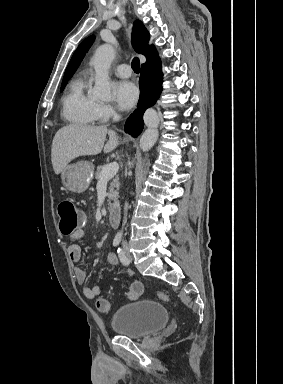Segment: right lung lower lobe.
<instances>
[{
  "instance_id": "1",
  "label": "right lung lower lobe",
  "mask_w": 283,
  "mask_h": 384,
  "mask_svg": "<svg viewBox=\"0 0 283 384\" xmlns=\"http://www.w3.org/2000/svg\"><path fill=\"white\" fill-rule=\"evenodd\" d=\"M139 86V109L128 118L125 124V132L133 137H137L142 132L144 110L154 105L162 91L161 65L154 68L141 69Z\"/></svg>"
}]
</instances>
